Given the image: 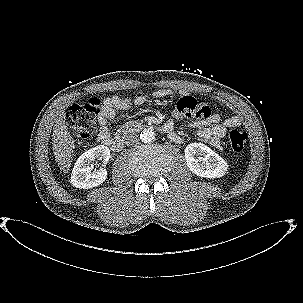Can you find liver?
<instances>
[{
  "mask_svg": "<svg viewBox=\"0 0 303 303\" xmlns=\"http://www.w3.org/2000/svg\"><path fill=\"white\" fill-rule=\"evenodd\" d=\"M52 146L58 167L64 173L68 172L71 166L75 145L66 126L64 108L62 107L60 108L58 118L54 124Z\"/></svg>",
  "mask_w": 303,
  "mask_h": 303,
  "instance_id": "obj_1",
  "label": "liver"
}]
</instances>
